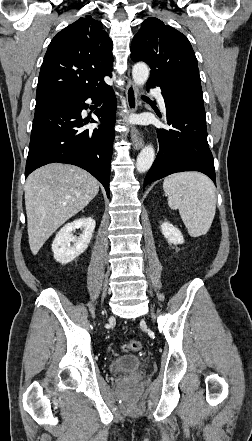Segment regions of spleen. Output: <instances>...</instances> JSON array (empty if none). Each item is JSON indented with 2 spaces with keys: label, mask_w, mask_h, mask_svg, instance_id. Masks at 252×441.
I'll return each instance as SVG.
<instances>
[{
  "label": "spleen",
  "mask_w": 252,
  "mask_h": 441,
  "mask_svg": "<svg viewBox=\"0 0 252 441\" xmlns=\"http://www.w3.org/2000/svg\"><path fill=\"white\" fill-rule=\"evenodd\" d=\"M163 189L171 209L179 210L191 237L205 235L216 211V188L206 175L181 172L164 179Z\"/></svg>",
  "instance_id": "1"
}]
</instances>
